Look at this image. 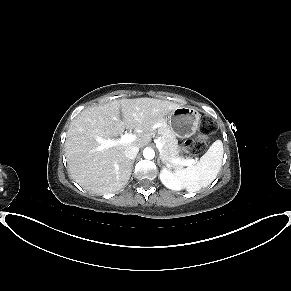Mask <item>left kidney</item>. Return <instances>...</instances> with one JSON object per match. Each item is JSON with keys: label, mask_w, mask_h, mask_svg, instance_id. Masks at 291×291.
Returning <instances> with one entry per match:
<instances>
[{"label": "left kidney", "mask_w": 291, "mask_h": 291, "mask_svg": "<svg viewBox=\"0 0 291 291\" xmlns=\"http://www.w3.org/2000/svg\"><path fill=\"white\" fill-rule=\"evenodd\" d=\"M160 180L169 189L182 190L184 188L183 182L175 177L169 169L163 168L160 172Z\"/></svg>", "instance_id": "obj_1"}]
</instances>
